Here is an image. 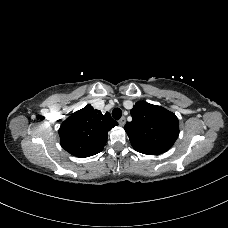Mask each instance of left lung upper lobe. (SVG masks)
<instances>
[{"label": "left lung upper lobe", "mask_w": 228, "mask_h": 228, "mask_svg": "<svg viewBox=\"0 0 228 228\" xmlns=\"http://www.w3.org/2000/svg\"><path fill=\"white\" fill-rule=\"evenodd\" d=\"M133 120L124 129L133 148L143 154L159 155L168 151L179 135L176 115L147 102H137L131 110Z\"/></svg>", "instance_id": "left-lung-upper-lobe-1"}]
</instances>
